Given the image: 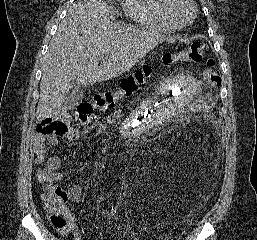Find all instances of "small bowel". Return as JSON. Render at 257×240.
I'll return each instance as SVG.
<instances>
[{
    "label": "small bowel",
    "instance_id": "obj_1",
    "mask_svg": "<svg viewBox=\"0 0 257 240\" xmlns=\"http://www.w3.org/2000/svg\"><path fill=\"white\" fill-rule=\"evenodd\" d=\"M65 137L69 140H75L79 136V131L77 128L70 124H65V129L61 133L56 134H41L38 133L34 139V152L36 154L35 163L38 167L37 176L39 183L44 190L49 188V182L52 179L63 180L65 178L64 174L61 172L62 161L58 155H52L47 157L46 143L53 146H57L59 137ZM67 195L70 201L79 202L81 200L82 191L79 184H73L67 189ZM69 228L71 230L76 240H83L82 232L80 231L74 217L68 215ZM66 231H59L62 235H65ZM129 236L133 240H138L133 232L129 233Z\"/></svg>",
    "mask_w": 257,
    "mask_h": 240
}]
</instances>
